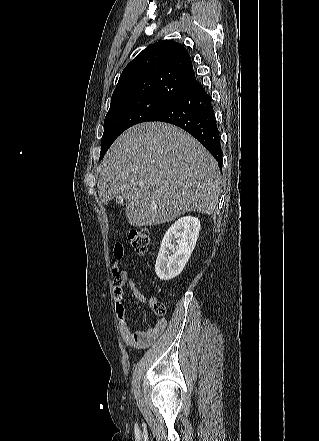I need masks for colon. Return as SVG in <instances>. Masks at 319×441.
Here are the masks:
<instances>
[{
	"mask_svg": "<svg viewBox=\"0 0 319 441\" xmlns=\"http://www.w3.org/2000/svg\"><path fill=\"white\" fill-rule=\"evenodd\" d=\"M128 240L133 247L134 251L139 256H145L149 253V247L151 242L150 233L145 228H133L129 231ZM153 311L158 316L157 322L165 312V307L161 303L153 305Z\"/></svg>",
	"mask_w": 319,
	"mask_h": 441,
	"instance_id": "obj_1",
	"label": "colon"
}]
</instances>
